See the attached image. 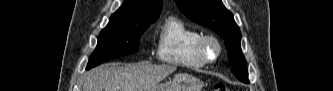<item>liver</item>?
I'll list each match as a JSON object with an SVG mask.
<instances>
[{
    "label": "liver",
    "mask_w": 333,
    "mask_h": 91,
    "mask_svg": "<svg viewBox=\"0 0 333 91\" xmlns=\"http://www.w3.org/2000/svg\"><path fill=\"white\" fill-rule=\"evenodd\" d=\"M175 70L174 66L146 63L106 64L86 73L83 91H152Z\"/></svg>",
    "instance_id": "1"
}]
</instances>
